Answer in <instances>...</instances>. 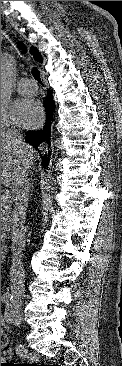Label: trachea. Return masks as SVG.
Returning <instances> with one entry per match:
<instances>
[{
  "mask_svg": "<svg viewBox=\"0 0 122 366\" xmlns=\"http://www.w3.org/2000/svg\"><path fill=\"white\" fill-rule=\"evenodd\" d=\"M17 43H18V46H19L20 49H24L23 45L20 42H17ZM32 74H33L34 79L38 83H40V84L43 85L42 80H41V77H40V72H39V70L37 68H34L33 69Z\"/></svg>",
  "mask_w": 122,
  "mask_h": 366,
  "instance_id": "obj_1",
  "label": "trachea"
}]
</instances>
